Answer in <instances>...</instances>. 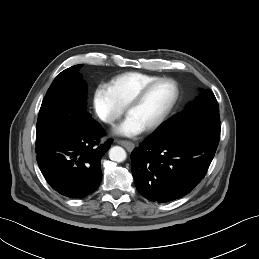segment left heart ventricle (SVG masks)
Wrapping results in <instances>:
<instances>
[{
    "label": "left heart ventricle",
    "mask_w": 259,
    "mask_h": 259,
    "mask_svg": "<svg viewBox=\"0 0 259 259\" xmlns=\"http://www.w3.org/2000/svg\"><path fill=\"white\" fill-rule=\"evenodd\" d=\"M173 97V85L167 82L159 83L148 91L142 101L128 112V115L146 128L164 113Z\"/></svg>",
    "instance_id": "b2bd125f"
}]
</instances>
